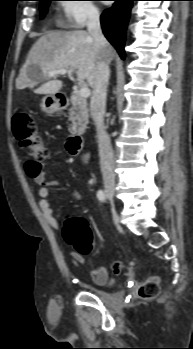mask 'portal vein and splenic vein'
Wrapping results in <instances>:
<instances>
[{
	"label": "portal vein and splenic vein",
	"instance_id": "18ae733b",
	"mask_svg": "<svg viewBox=\"0 0 193 349\" xmlns=\"http://www.w3.org/2000/svg\"><path fill=\"white\" fill-rule=\"evenodd\" d=\"M71 69H60V70H56V71H52L49 73L50 77H55L57 75H66V74H70ZM79 94L82 97H88L90 95V90L88 87H81L79 90Z\"/></svg>",
	"mask_w": 193,
	"mask_h": 349
}]
</instances>
